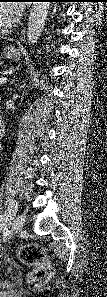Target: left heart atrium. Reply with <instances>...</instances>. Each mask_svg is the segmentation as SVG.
I'll list each match as a JSON object with an SVG mask.
<instances>
[{
  "instance_id": "1",
  "label": "left heart atrium",
  "mask_w": 107,
  "mask_h": 297,
  "mask_svg": "<svg viewBox=\"0 0 107 297\" xmlns=\"http://www.w3.org/2000/svg\"><path fill=\"white\" fill-rule=\"evenodd\" d=\"M20 13H21V7L15 6L12 10L13 19L16 18L18 15H20Z\"/></svg>"
}]
</instances>
